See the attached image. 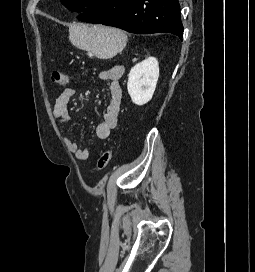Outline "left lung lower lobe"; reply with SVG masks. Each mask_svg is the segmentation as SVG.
Wrapping results in <instances>:
<instances>
[{
  "label": "left lung lower lobe",
  "mask_w": 255,
  "mask_h": 272,
  "mask_svg": "<svg viewBox=\"0 0 255 272\" xmlns=\"http://www.w3.org/2000/svg\"><path fill=\"white\" fill-rule=\"evenodd\" d=\"M77 18L131 33L167 32L181 40L183 36L178 0H99L94 8Z\"/></svg>",
  "instance_id": "1"
}]
</instances>
